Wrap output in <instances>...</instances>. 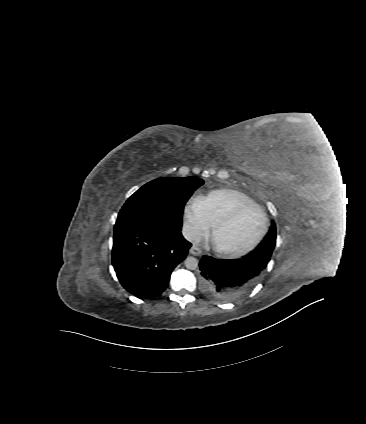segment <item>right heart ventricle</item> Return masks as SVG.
Here are the masks:
<instances>
[{
  "mask_svg": "<svg viewBox=\"0 0 366 424\" xmlns=\"http://www.w3.org/2000/svg\"><path fill=\"white\" fill-rule=\"evenodd\" d=\"M203 203L206 215L211 224H214L218 219L239 205L248 203L256 204L244 192L230 188L216 189L209 192L203 197Z\"/></svg>",
  "mask_w": 366,
  "mask_h": 424,
  "instance_id": "e07e8e85",
  "label": "right heart ventricle"
}]
</instances>
